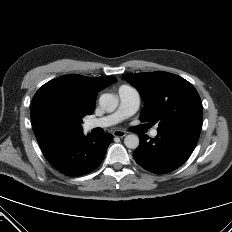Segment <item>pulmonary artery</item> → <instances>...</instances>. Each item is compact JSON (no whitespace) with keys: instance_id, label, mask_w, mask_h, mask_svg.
Here are the masks:
<instances>
[{"instance_id":"pulmonary-artery-1","label":"pulmonary artery","mask_w":232,"mask_h":232,"mask_svg":"<svg viewBox=\"0 0 232 232\" xmlns=\"http://www.w3.org/2000/svg\"><path fill=\"white\" fill-rule=\"evenodd\" d=\"M118 97L119 107L113 114L86 121L84 123V129L92 130L95 128H107L136 113L140 105V94L135 88L121 86L118 90ZM151 135H157V127L151 131Z\"/></svg>"}]
</instances>
